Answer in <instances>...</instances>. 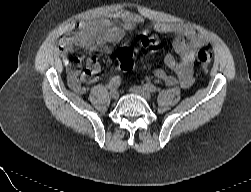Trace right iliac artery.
I'll return each mask as SVG.
<instances>
[{"instance_id":"1","label":"right iliac artery","mask_w":251,"mask_h":192,"mask_svg":"<svg viewBox=\"0 0 251 192\" xmlns=\"http://www.w3.org/2000/svg\"><path fill=\"white\" fill-rule=\"evenodd\" d=\"M120 84H121L120 77L119 76H115V77H113L110 80V82L107 85V87H108V89L115 90V89H117L120 86Z\"/></svg>"}]
</instances>
